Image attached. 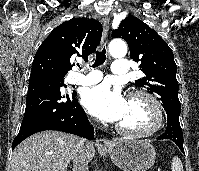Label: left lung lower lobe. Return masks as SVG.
<instances>
[{
    "label": "left lung lower lobe",
    "instance_id": "1",
    "mask_svg": "<svg viewBox=\"0 0 199 171\" xmlns=\"http://www.w3.org/2000/svg\"><path fill=\"white\" fill-rule=\"evenodd\" d=\"M158 139H169L175 142L180 150L184 153L183 134L179 123V114L167 113L166 131L159 136Z\"/></svg>",
    "mask_w": 199,
    "mask_h": 171
}]
</instances>
